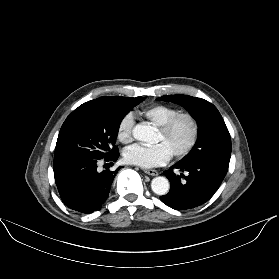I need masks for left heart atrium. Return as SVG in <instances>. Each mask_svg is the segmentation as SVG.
<instances>
[{
    "instance_id": "obj_1",
    "label": "left heart atrium",
    "mask_w": 279,
    "mask_h": 279,
    "mask_svg": "<svg viewBox=\"0 0 279 279\" xmlns=\"http://www.w3.org/2000/svg\"><path fill=\"white\" fill-rule=\"evenodd\" d=\"M172 153L168 147L159 142L155 145L135 144L125 151V159L128 163L143 168H149L165 164L171 158Z\"/></svg>"
}]
</instances>
